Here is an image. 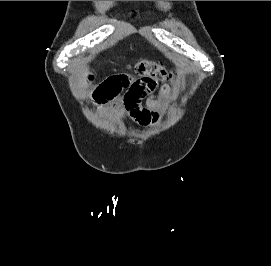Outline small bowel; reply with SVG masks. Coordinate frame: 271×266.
<instances>
[{"mask_svg":"<svg viewBox=\"0 0 271 266\" xmlns=\"http://www.w3.org/2000/svg\"><path fill=\"white\" fill-rule=\"evenodd\" d=\"M94 81V75L88 74L87 84H93ZM122 90H125L122 101L113 108L116 115L140 126H148L159 119V105L155 95L157 83L151 76L132 79L126 74H113L95 84L91 100L95 105H104L112 102ZM159 91L163 93L166 88L161 87Z\"/></svg>","mask_w":271,"mask_h":266,"instance_id":"1","label":"small bowel"}]
</instances>
